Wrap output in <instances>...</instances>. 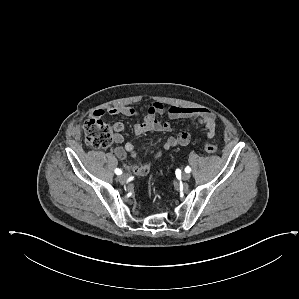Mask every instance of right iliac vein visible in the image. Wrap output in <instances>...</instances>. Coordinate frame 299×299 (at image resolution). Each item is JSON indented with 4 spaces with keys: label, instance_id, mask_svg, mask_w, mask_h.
<instances>
[{
    "label": "right iliac vein",
    "instance_id": "obj_1",
    "mask_svg": "<svg viewBox=\"0 0 299 299\" xmlns=\"http://www.w3.org/2000/svg\"><path fill=\"white\" fill-rule=\"evenodd\" d=\"M127 178H128L127 174H122L118 177V181L120 183H124L127 180Z\"/></svg>",
    "mask_w": 299,
    "mask_h": 299
}]
</instances>
